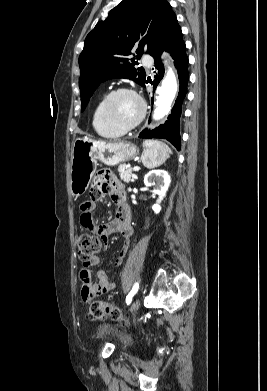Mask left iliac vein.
<instances>
[{
    "label": "left iliac vein",
    "instance_id": "1",
    "mask_svg": "<svg viewBox=\"0 0 267 391\" xmlns=\"http://www.w3.org/2000/svg\"><path fill=\"white\" fill-rule=\"evenodd\" d=\"M140 304H141V300L139 298L136 299L131 305V309H130L131 313H135L140 307Z\"/></svg>",
    "mask_w": 267,
    "mask_h": 391
}]
</instances>
